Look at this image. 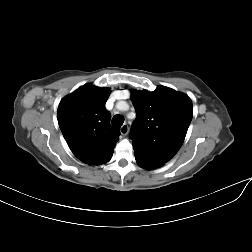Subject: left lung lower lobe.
I'll return each instance as SVG.
<instances>
[{
    "mask_svg": "<svg viewBox=\"0 0 252 252\" xmlns=\"http://www.w3.org/2000/svg\"><path fill=\"white\" fill-rule=\"evenodd\" d=\"M134 155H135L137 164L141 168H144L147 170L156 169V168L162 167L165 164V162L152 158L150 156H147L139 151H135Z\"/></svg>",
    "mask_w": 252,
    "mask_h": 252,
    "instance_id": "0a47b994",
    "label": "left lung lower lobe"
}]
</instances>
